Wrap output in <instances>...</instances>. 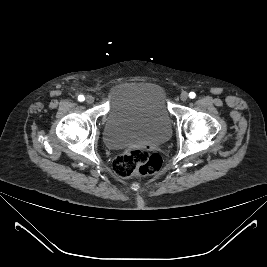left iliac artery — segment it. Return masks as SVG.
Returning <instances> with one entry per match:
<instances>
[{
	"mask_svg": "<svg viewBox=\"0 0 267 267\" xmlns=\"http://www.w3.org/2000/svg\"><path fill=\"white\" fill-rule=\"evenodd\" d=\"M189 96H190V98H194L196 96V94L194 92H190Z\"/></svg>",
	"mask_w": 267,
	"mask_h": 267,
	"instance_id": "44dca946",
	"label": "left iliac artery"
}]
</instances>
